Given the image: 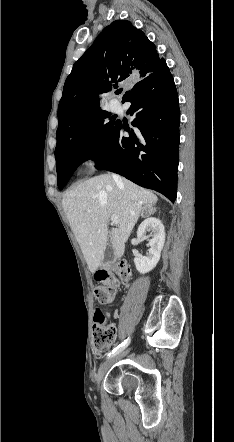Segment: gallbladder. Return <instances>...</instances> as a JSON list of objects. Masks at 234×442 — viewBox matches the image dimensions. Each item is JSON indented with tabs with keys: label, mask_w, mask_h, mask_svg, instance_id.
<instances>
[{
	"label": "gallbladder",
	"mask_w": 234,
	"mask_h": 442,
	"mask_svg": "<svg viewBox=\"0 0 234 442\" xmlns=\"http://www.w3.org/2000/svg\"><path fill=\"white\" fill-rule=\"evenodd\" d=\"M113 248L111 246V244L109 243L106 247V250L104 252V257H103V261H102V267H108L109 264L111 263L112 259H113Z\"/></svg>",
	"instance_id": "bac80fb5"
}]
</instances>
